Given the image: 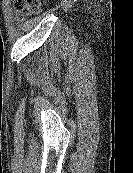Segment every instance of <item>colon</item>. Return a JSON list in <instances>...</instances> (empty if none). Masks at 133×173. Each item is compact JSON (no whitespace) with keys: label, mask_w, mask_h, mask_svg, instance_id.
Segmentation results:
<instances>
[{"label":"colon","mask_w":133,"mask_h":173,"mask_svg":"<svg viewBox=\"0 0 133 173\" xmlns=\"http://www.w3.org/2000/svg\"><path fill=\"white\" fill-rule=\"evenodd\" d=\"M15 6L20 12H36L39 0H15Z\"/></svg>","instance_id":"colon-1"}]
</instances>
